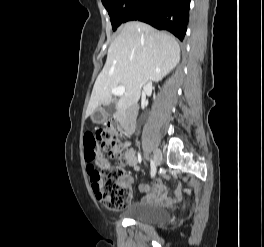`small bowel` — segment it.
I'll use <instances>...</instances> for the list:
<instances>
[{
	"instance_id": "small-bowel-1",
	"label": "small bowel",
	"mask_w": 264,
	"mask_h": 247,
	"mask_svg": "<svg viewBox=\"0 0 264 247\" xmlns=\"http://www.w3.org/2000/svg\"><path fill=\"white\" fill-rule=\"evenodd\" d=\"M125 159L129 165L136 166L135 155L131 149H127L125 151ZM126 179L129 183L132 182L131 177H127ZM141 191L145 193L143 196V201L145 202L162 201L168 203L172 200L169 197L164 184L159 181L155 182L151 189H149L147 186H142Z\"/></svg>"
}]
</instances>
